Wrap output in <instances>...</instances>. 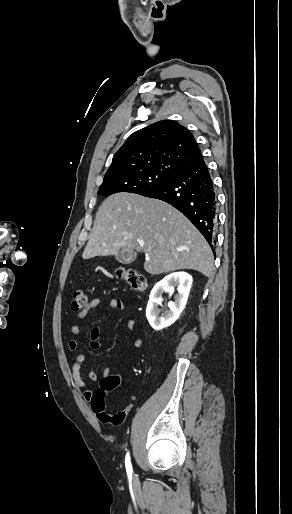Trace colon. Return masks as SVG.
<instances>
[{
  "label": "colon",
  "instance_id": "1",
  "mask_svg": "<svg viewBox=\"0 0 292 514\" xmlns=\"http://www.w3.org/2000/svg\"><path fill=\"white\" fill-rule=\"evenodd\" d=\"M118 278L124 283L128 284L133 292H143L147 286V279L144 273L139 272L136 268L119 267L116 270ZM89 306V300L84 290H77L74 295L72 310L74 312L86 311ZM118 379L114 375L106 376L101 380L100 387H98L91 396L94 403L93 412L94 417L98 420H108L110 413L105 411L106 401L109 392L114 391ZM130 409L126 408L114 414L112 420L115 424L122 422L124 417L129 413Z\"/></svg>",
  "mask_w": 292,
  "mask_h": 514
}]
</instances>
